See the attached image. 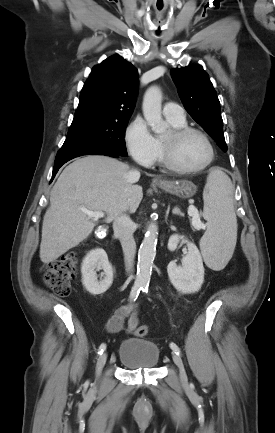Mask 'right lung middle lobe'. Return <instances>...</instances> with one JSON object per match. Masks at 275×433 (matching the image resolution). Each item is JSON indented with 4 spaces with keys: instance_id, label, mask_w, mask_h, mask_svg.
<instances>
[{
    "instance_id": "dd1d6c3e",
    "label": "right lung middle lobe",
    "mask_w": 275,
    "mask_h": 433,
    "mask_svg": "<svg viewBox=\"0 0 275 433\" xmlns=\"http://www.w3.org/2000/svg\"><path fill=\"white\" fill-rule=\"evenodd\" d=\"M128 120L129 118L122 120L101 118L73 120L67 138L58 151L55 161L98 152L127 156L123 137Z\"/></svg>"
}]
</instances>
